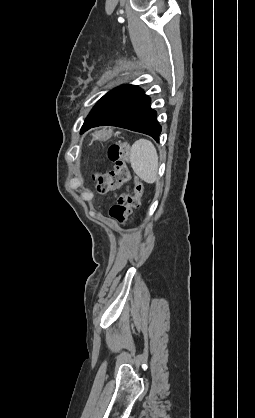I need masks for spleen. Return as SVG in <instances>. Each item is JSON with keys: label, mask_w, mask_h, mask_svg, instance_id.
Wrapping results in <instances>:
<instances>
[{"label": "spleen", "mask_w": 255, "mask_h": 418, "mask_svg": "<svg viewBox=\"0 0 255 418\" xmlns=\"http://www.w3.org/2000/svg\"><path fill=\"white\" fill-rule=\"evenodd\" d=\"M130 163L136 175L148 184L157 180L158 154L151 141L139 139L130 149Z\"/></svg>", "instance_id": "3e777b00"}]
</instances>
